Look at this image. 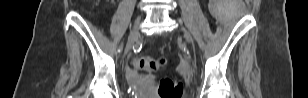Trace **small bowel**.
Here are the masks:
<instances>
[{
	"label": "small bowel",
	"mask_w": 308,
	"mask_h": 98,
	"mask_svg": "<svg viewBox=\"0 0 308 98\" xmlns=\"http://www.w3.org/2000/svg\"><path fill=\"white\" fill-rule=\"evenodd\" d=\"M130 76L133 77V74L131 73ZM181 84H182V83H181Z\"/></svg>",
	"instance_id": "obj_1"
}]
</instances>
